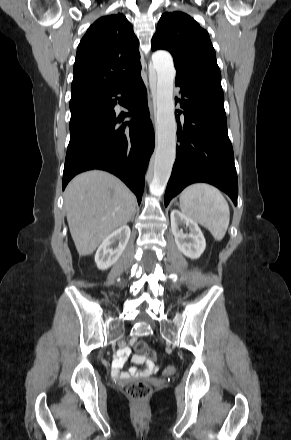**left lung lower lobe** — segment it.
Returning a JSON list of instances; mask_svg holds the SVG:
<instances>
[{
  "label": "left lung lower lobe",
  "mask_w": 291,
  "mask_h": 440,
  "mask_svg": "<svg viewBox=\"0 0 291 440\" xmlns=\"http://www.w3.org/2000/svg\"><path fill=\"white\" fill-rule=\"evenodd\" d=\"M181 87L183 112L176 116L177 153L165 192V206L186 186L195 182L210 183L227 193L237 205L238 179L234 154L227 133L224 96L198 90L175 82ZM184 115L181 127L179 115Z\"/></svg>",
  "instance_id": "obj_1"
}]
</instances>
